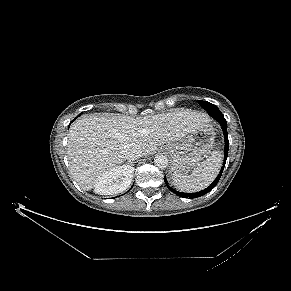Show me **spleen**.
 <instances>
[{
	"label": "spleen",
	"instance_id": "spleen-1",
	"mask_svg": "<svg viewBox=\"0 0 291 291\" xmlns=\"http://www.w3.org/2000/svg\"><path fill=\"white\" fill-rule=\"evenodd\" d=\"M222 165V154L213 151L199 164L189 176H173V185L182 192H198L208 187L219 173Z\"/></svg>",
	"mask_w": 291,
	"mask_h": 291
}]
</instances>
